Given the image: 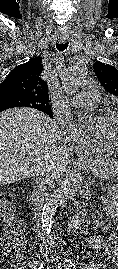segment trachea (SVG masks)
<instances>
[{
	"label": "trachea",
	"mask_w": 118,
	"mask_h": 269,
	"mask_svg": "<svg viewBox=\"0 0 118 269\" xmlns=\"http://www.w3.org/2000/svg\"><path fill=\"white\" fill-rule=\"evenodd\" d=\"M67 47H68V42L56 44V48L59 51H64L65 49H67Z\"/></svg>",
	"instance_id": "3493384b"
}]
</instances>
